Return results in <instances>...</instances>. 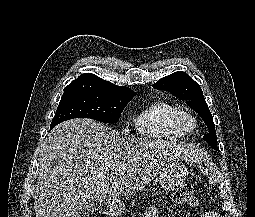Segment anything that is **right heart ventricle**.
<instances>
[{"label":"right heart ventricle","mask_w":255,"mask_h":217,"mask_svg":"<svg viewBox=\"0 0 255 217\" xmlns=\"http://www.w3.org/2000/svg\"><path fill=\"white\" fill-rule=\"evenodd\" d=\"M180 110L173 104L156 100L144 107L135 117L136 131L148 138L175 140L185 137L176 117Z\"/></svg>","instance_id":"e07e8e85"}]
</instances>
